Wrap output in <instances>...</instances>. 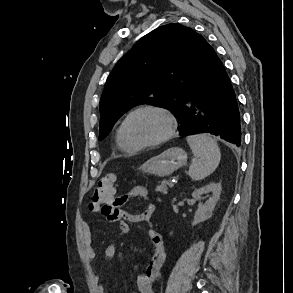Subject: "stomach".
I'll return each instance as SVG.
<instances>
[{
    "label": "stomach",
    "instance_id": "obj_1",
    "mask_svg": "<svg viewBox=\"0 0 293 293\" xmlns=\"http://www.w3.org/2000/svg\"><path fill=\"white\" fill-rule=\"evenodd\" d=\"M187 162V153L179 147H171L161 154L148 159L140 166V170L155 176H169L184 166Z\"/></svg>",
    "mask_w": 293,
    "mask_h": 293
}]
</instances>
